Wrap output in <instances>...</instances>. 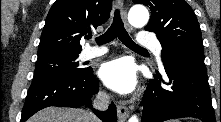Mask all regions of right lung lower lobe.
<instances>
[{
	"mask_svg": "<svg viewBox=\"0 0 221 122\" xmlns=\"http://www.w3.org/2000/svg\"><path fill=\"white\" fill-rule=\"evenodd\" d=\"M98 92V81L92 68L78 76L59 77L39 82H32L22 110L21 121H26L37 111L49 107L78 108L91 106L93 94ZM103 122H116V107L109 106L105 112L94 110Z\"/></svg>",
	"mask_w": 221,
	"mask_h": 122,
	"instance_id": "98d812e1",
	"label": "right lung lower lobe"
}]
</instances>
